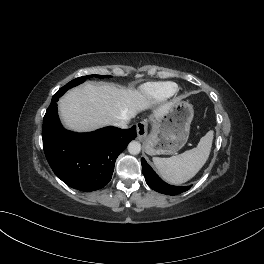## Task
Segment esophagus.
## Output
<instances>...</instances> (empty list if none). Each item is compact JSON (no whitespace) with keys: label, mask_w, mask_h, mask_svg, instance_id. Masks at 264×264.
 Returning <instances> with one entry per match:
<instances>
[{"label":"esophagus","mask_w":264,"mask_h":264,"mask_svg":"<svg viewBox=\"0 0 264 264\" xmlns=\"http://www.w3.org/2000/svg\"><path fill=\"white\" fill-rule=\"evenodd\" d=\"M136 129H137L138 139L139 140L145 139L148 133V121L144 120V121L137 123Z\"/></svg>","instance_id":"esophagus-1"}]
</instances>
